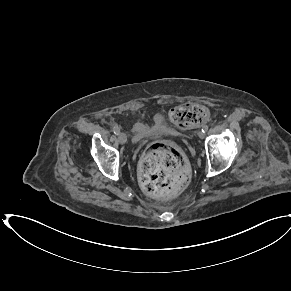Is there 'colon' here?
<instances>
[{
	"label": "colon",
	"instance_id": "5ec220e1",
	"mask_svg": "<svg viewBox=\"0 0 291 291\" xmlns=\"http://www.w3.org/2000/svg\"><path fill=\"white\" fill-rule=\"evenodd\" d=\"M169 119L179 128H191L208 120L205 106L187 103L170 109ZM188 179V170L181 151L169 143L153 145L140 162L139 182L151 196L172 195L181 190Z\"/></svg>",
	"mask_w": 291,
	"mask_h": 291
}]
</instances>
